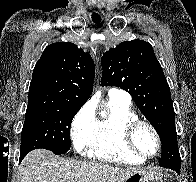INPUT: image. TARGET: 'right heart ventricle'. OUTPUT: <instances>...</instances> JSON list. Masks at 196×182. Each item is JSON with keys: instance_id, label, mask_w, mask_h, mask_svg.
<instances>
[{"instance_id": "obj_1", "label": "right heart ventricle", "mask_w": 196, "mask_h": 182, "mask_svg": "<svg viewBox=\"0 0 196 182\" xmlns=\"http://www.w3.org/2000/svg\"><path fill=\"white\" fill-rule=\"evenodd\" d=\"M138 119L130 102L110 98L106 111L96 120L88 157L107 163L141 165L144 159L132 154L124 145L125 126Z\"/></svg>"}]
</instances>
